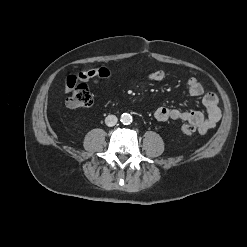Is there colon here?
<instances>
[{"instance_id":"colon-1","label":"colon","mask_w":247,"mask_h":247,"mask_svg":"<svg viewBox=\"0 0 247 247\" xmlns=\"http://www.w3.org/2000/svg\"><path fill=\"white\" fill-rule=\"evenodd\" d=\"M100 79V77H96ZM93 102L92 94L89 88L84 84H79L74 87L70 96L66 99V105L69 108H83L89 107ZM196 128L191 124H183L181 131L185 135H191L195 132Z\"/></svg>"}]
</instances>
